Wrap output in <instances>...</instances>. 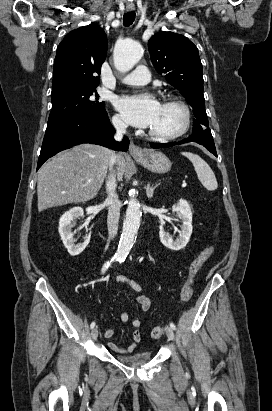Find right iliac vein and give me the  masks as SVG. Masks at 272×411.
Masks as SVG:
<instances>
[{"label":"right iliac vein","instance_id":"1","mask_svg":"<svg viewBox=\"0 0 272 411\" xmlns=\"http://www.w3.org/2000/svg\"><path fill=\"white\" fill-rule=\"evenodd\" d=\"M97 337H98V329H97V328H94V329L91 331V338H92L93 340H96Z\"/></svg>","mask_w":272,"mask_h":411}]
</instances>
